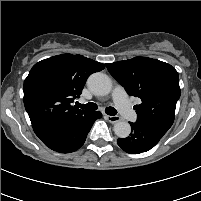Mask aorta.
I'll use <instances>...</instances> for the list:
<instances>
[{"label": "aorta", "mask_w": 201, "mask_h": 201, "mask_svg": "<svg viewBox=\"0 0 201 201\" xmlns=\"http://www.w3.org/2000/svg\"><path fill=\"white\" fill-rule=\"evenodd\" d=\"M89 89L98 96L108 95L112 90V81L104 73H93L87 81ZM114 132L119 138H127L131 133V126L126 121H118L114 125Z\"/></svg>", "instance_id": "762f6f07"}]
</instances>
